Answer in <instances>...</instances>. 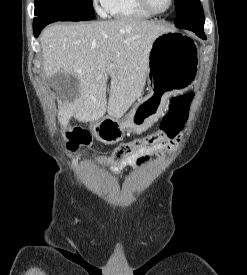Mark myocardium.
<instances>
[{"instance_id": "1", "label": "myocardium", "mask_w": 247, "mask_h": 275, "mask_svg": "<svg viewBox=\"0 0 247 275\" xmlns=\"http://www.w3.org/2000/svg\"><path fill=\"white\" fill-rule=\"evenodd\" d=\"M139 3L143 7V9H145L150 14H152V15H162V14H165V13L169 12L172 9L173 4H174V0H170L169 1V6L165 10H162V11L155 10L151 6L149 0H139Z\"/></svg>"}]
</instances>
